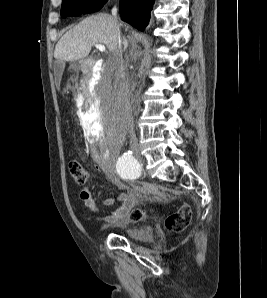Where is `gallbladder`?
<instances>
[{
	"label": "gallbladder",
	"mask_w": 267,
	"mask_h": 298,
	"mask_svg": "<svg viewBox=\"0 0 267 298\" xmlns=\"http://www.w3.org/2000/svg\"><path fill=\"white\" fill-rule=\"evenodd\" d=\"M56 65H62V63H61V62H58V63H56ZM55 72H56V73H60V70L56 68V69H55Z\"/></svg>",
	"instance_id": "1"
}]
</instances>
